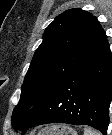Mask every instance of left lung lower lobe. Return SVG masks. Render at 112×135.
<instances>
[{
    "mask_svg": "<svg viewBox=\"0 0 112 135\" xmlns=\"http://www.w3.org/2000/svg\"><path fill=\"white\" fill-rule=\"evenodd\" d=\"M112 100V54L106 35L22 129L48 123L88 125L107 135Z\"/></svg>",
    "mask_w": 112,
    "mask_h": 135,
    "instance_id": "left-lung-lower-lobe-1",
    "label": "left lung lower lobe"
}]
</instances>
